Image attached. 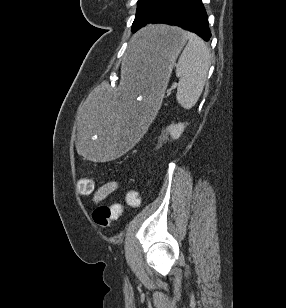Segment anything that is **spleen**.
<instances>
[{"mask_svg":"<svg viewBox=\"0 0 286 308\" xmlns=\"http://www.w3.org/2000/svg\"><path fill=\"white\" fill-rule=\"evenodd\" d=\"M185 34L188 44L176 66V76L179 77L176 100L184 109H190L203 92L211 61L204 41L194 33Z\"/></svg>","mask_w":286,"mask_h":308,"instance_id":"spleen-1","label":"spleen"}]
</instances>
